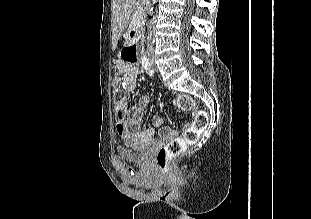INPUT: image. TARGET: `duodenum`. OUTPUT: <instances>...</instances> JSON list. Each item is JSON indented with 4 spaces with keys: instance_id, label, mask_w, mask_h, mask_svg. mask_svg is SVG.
I'll use <instances>...</instances> for the list:
<instances>
[{
    "instance_id": "410a0bca",
    "label": "duodenum",
    "mask_w": 311,
    "mask_h": 219,
    "mask_svg": "<svg viewBox=\"0 0 311 219\" xmlns=\"http://www.w3.org/2000/svg\"><path fill=\"white\" fill-rule=\"evenodd\" d=\"M129 50L134 51L137 55L140 50L137 48V43L139 41V31L137 28H133L128 32L127 35Z\"/></svg>"
}]
</instances>
